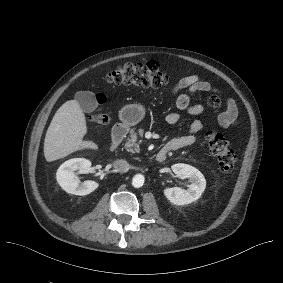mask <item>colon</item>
<instances>
[{"mask_svg":"<svg viewBox=\"0 0 283 283\" xmlns=\"http://www.w3.org/2000/svg\"><path fill=\"white\" fill-rule=\"evenodd\" d=\"M106 80L110 84L136 86V87H161L169 83V77L161 70L159 63L150 61L146 64L127 63L110 71ZM213 108L220 105V98L216 95L208 99ZM97 127L101 128L108 122L104 114H93L91 117ZM205 140L212 155L217 159L221 171L231 172L237 163V155L230 148L229 140L223 134L216 131H208Z\"/></svg>","mask_w":283,"mask_h":283,"instance_id":"1","label":"colon"}]
</instances>
